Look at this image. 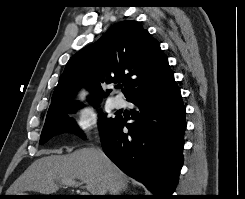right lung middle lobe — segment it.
<instances>
[{
	"label": "right lung middle lobe",
	"instance_id": "right-lung-middle-lobe-1",
	"mask_svg": "<svg viewBox=\"0 0 245 199\" xmlns=\"http://www.w3.org/2000/svg\"><path fill=\"white\" fill-rule=\"evenodd\" d=\"M78 105H70L63 107L58 112L47 116L46 121L41 133V138L39 144L42 145L50 140L53 136L62 134L65 132L73 133L80 138L85 139L83 133L79 130L78 126L75 124L74 120L69 118L67 113L76 111ZM114 118H106V115H103V118L99 121V129L102 132Z\"/></svg>",
	"mask_w": 245,
	"mask_h": 199
}]
</instances>
